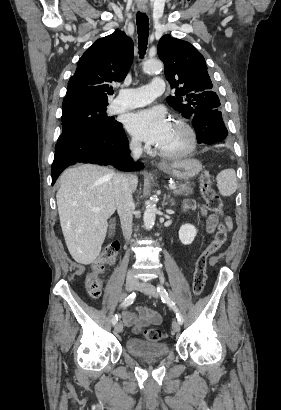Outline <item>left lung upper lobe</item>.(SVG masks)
I'll return each instance as SVG.
<instances>
[{"label": "left lung upper lobe", "mask_w": 281, "mask_h": 410, "mask_svg": "<svg viewBox=\"0 0 281 410\" xmlns=\"http://www.w3.org/2000/svg\"><path fill=\"white\" fill-rule=\"evenodd\" d=\"M158 56L164 62L165 76L174 89L168 104L183 117L192 119L196 113L218 109L215 92L204 57L189 42L164 35L158 43Z\"/></svg>", "instance_id": "left-lung-upper-lobe-1"}]
</instances>
